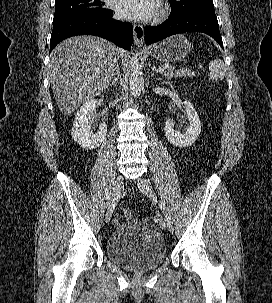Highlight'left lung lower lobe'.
Segmentation results:
<instances>
[{
	"label": "left lung lower lobe",
	"mask_w": 272,
	"mask_h": 303,
	"mask_svg": "<svg viewBox=\"0 0 272 303\" xmlns=\"http://www.w3.org/2000/svg\"><path fill=\"white\" fill-rule=\"evenodd\" d=\"M144 32L145 42L148 45L178 33L202 32L213 37L223 48L215 13H191L170 17L159 26H146Z\"/></svg>",
	"instance_id": "0a47b994"
}]
</instances>
